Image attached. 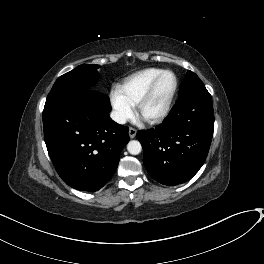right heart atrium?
Listing matches in <instances>:
<instances>
[{"label":"right heart atrium","instance_id":"obj_1","mask_svg":"<svg viewBox=\"0 0 264 264\" xmlns=\"http://www.w3.org/2000/svg\"><path fill=\"white\" fill-rule=\"evenodd\" d=\"M111 104L114 118L119 123H125L133 116L134 105L130 103L119 90L111 93Z\"/></svg>","mask_w":264,"mask_h":264}]
</instances>
